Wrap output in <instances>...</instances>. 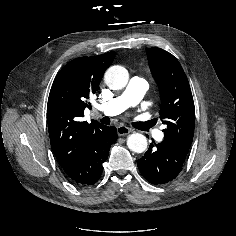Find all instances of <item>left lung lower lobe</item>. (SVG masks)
<instances>
[{
    "instance_id": "1",
    "label": "left lung lower lobe",
    "mask_w": 236,
    "mask_h": 236,
    "mask_svg": "<svg viewBox=\"0 0 236 236\" xmlns=\"http://www.w3.org/2000/svg\"><path fill=\"white\" fill-rule=\"evenodd\" d=\"M156 146L154 151L152 148ZM186 155L179 153L164 142L151 143L137 165L143 177L154 185L175 179L184 165Z\"/></svg>"
}]
</instances>
